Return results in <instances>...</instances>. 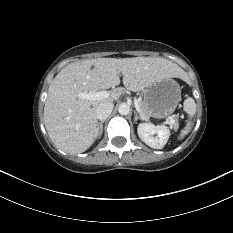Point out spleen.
<instances>
[{
  "mask_svg": "<svg viewBox=\"0 0 233 233\" xmlns=\"http://www.w3.org/2000/svg\"><path fill=\"white\" fill-rule=\"evenodd\" d=\"M183 106H184V110L186 111V113L189 116V120H191L192 117L196 113V104H195L194 99L192 97H188L184 101ZM191 125H192V122L188 121V123L186 124V126L180 131V134L178 136L179 140L183 139L190 132Z\"/></svg>",
  "mask_w": 233,
  "mask_h": 233,
  "instance_id": "3e777b00",
  "label": "spleen"
}]
</instances>
